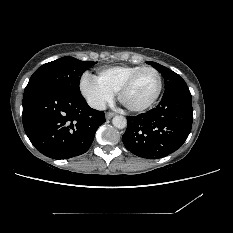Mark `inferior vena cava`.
<instances>
[{
  "label": "inferior vena cava",
  "instance_id": "obj_1",
  "mask_svg": "<svg viewBox=\"0 0 233 233\" xmlns=\"http://www.w3.org/2000/svg\"><path fill=\"white\" fill-rule=\"evenodd\" d=\"M89 106L91 108L97 109V110H105L106 104L102 100H91L88 102Z\"/></svg>",
  "mask_w": 233,
  "mask_h": 233
}]
</instances>
